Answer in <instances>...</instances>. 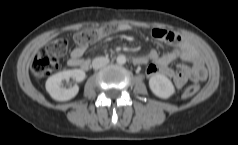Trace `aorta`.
Instances as JSON below:
<instances>
[{
    "label": "aorta",
    "instance_id": "762f6f07",
    "mask_svg": "<svg viewBox=\"0 0 238 145\" xmlns=\"http://www.w3.org/2000/svg\"><path fill=\"white\" fill-rule=\"evenodd\" d=\"M118 64H125L126 63V57L124 55H118L116 59Z\"/></svg>",
    "mask_w": 238,
    "mask_h": 145
}]
</instances>
